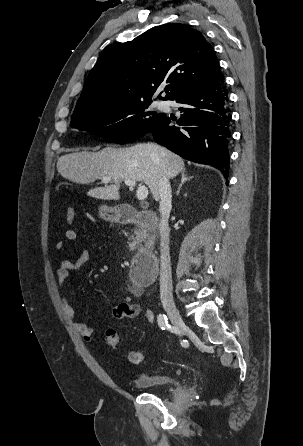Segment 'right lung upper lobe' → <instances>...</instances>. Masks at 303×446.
<instances>
[{
    "instance_id": "obj_1",
    "label": "right lung upper lobe",
    "mask_w": 303,
    "mask_h": 446,
    "mask_svg": "<svg viewBox=\"0 0 303 446\" xmlns=\"http://www.w3.org/2000/svg\"><path fill=\"white\" fill-rule=\"evenodd\" d=\"M221 77L215 53L199 31L184 24H164L103 50L73 116L102 106L151 101L165 83L166 96L158 98L174 100Z\"/></svg>"
}]
</instances>
